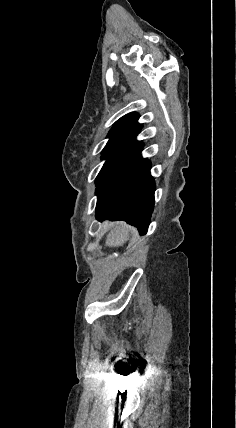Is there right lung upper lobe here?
<instances>
[{"label": "right lung upper lobe", "instance_id": "obj_1", "mask_svg": "<svg viewBox=\"0 0 236 428\" xmlns=\"http://www.w3.org/2000/svg\"><path fill=\"white\" fill-rule=\"evenodd\" d=\"M138 119L137 113H129L116 121L108 134L110 140L103 151L141 144L135 139L142 127L141 124L137 123Z\"/></svg>", "mask_w": 236, "mask_h": 428}]
</instances>
